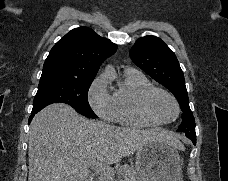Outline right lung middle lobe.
Listing matches in <instances>:
<instances>
[{
    "instance_id": "1",
    "label": "right lung middle lobe",
    "mask_w": 228,
    "mask_h": 181,
    "mask_svg": "<svg viewBox=\"0 0 228 181\" xmlns=\"http://www.w3.org/2000/svg\"><path fill=\"white\" fill-rule=\"evenodd\" d=\"M93 80H72L61 77H41L37 94L33 102V110L40 111L52 103H66L78 113L96 118L92 111L87 93Z\"/></svg>"
}]
</instances>
